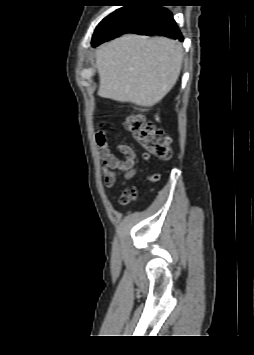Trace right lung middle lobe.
I'll list each match as a JSON object with an SVG mask.
<instances>
[{
  "instance_id": "right-lung-middle-lobe-1",
  "label": "right lung middle lobe",
  "mask_w": 254,
  "mask_h": 355,
  "mask_svg": "<svg viewBox=\"0 0 254 355\" xmlns=\"http://www.w3.org/2000/svg\"><path fill=\"white\" fill-rule=\"evenodd\" d=\"M111 15H112V14H110L109 16H107L106 18H104V19L99 23V25L96 27L95 32H94L93 37H92V41L95 40V39L99 36L101 30L103 29V27L105 26V24L107 23V21H108V19L110 18Z\"/></svg>"
}]
</instances>
